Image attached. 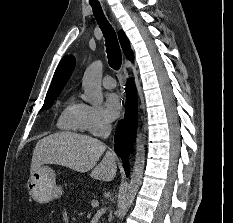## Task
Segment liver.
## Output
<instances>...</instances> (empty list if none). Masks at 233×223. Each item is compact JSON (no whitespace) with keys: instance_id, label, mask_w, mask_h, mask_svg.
I'll list each match as a JSON object with an SVG mask.
<instances>
[{"instance_id":"6515ba94","label":"liver","mask_w":233,"mask_h":223,"mask_svg":"<svg viewBox=\"0 0 233 223\" xmlns=\"http://www.w3.org/2000/svg\"><path fill=\"white\" fill-rule=\"evenodd\" d=\"M107 145L90 135L59 131L39 139L32 155L30 173H34L44 163L64 165L74 171H90V177L100 181H112L116 177L117 163ZM105 153V155H103ZM103 155L101 161H99Z\"/></svg>"}]
</instances>
